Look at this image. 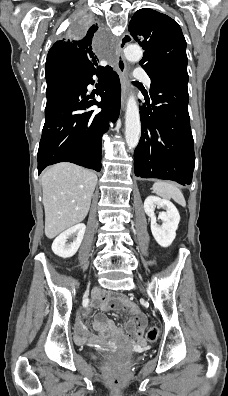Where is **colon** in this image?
Returning <instances> with one entry per match:
<instances>
[{"label": "colon", "instance_id": "obj_1", "mask_svg": "<svg viewBox=\"0 0 228 396\" xmlns=\"http://www.w3.org/2000/svg\"><path fill=\"white\" fill-rule=\"evenodd\" d=\"M159 336V330L155 327H151L147 330L146 338L149 341H155Z\"/></svg>", "mask_w": 228, "mask_h": 396}]
</instances>
